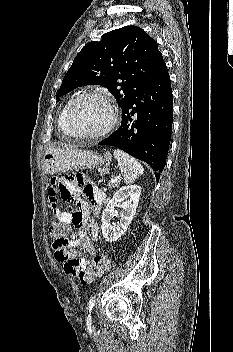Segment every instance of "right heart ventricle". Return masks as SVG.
Instances as JSON below:
<instances>
[{
	"instance_id": "1",
	"label": "right heart ventricle",
	"mask_w": 233,
	"mask_h": 352,
	"mask_svg": "<svg viewBox=\"0 0 233 352\" xmlns=\"http://www.w3.org/2000/svg\"><path fill=\"white\" fill-rule=\"evenodd\" d=\"M73 100V98H70L65 105L63 106L62 110L60 111L59 117H58V127L61 130V132L63 134H65L66 136H70L68 127L66 125V114H67V110L68 107L71 103V101Z\"/></svg>"
}]
</instances>
